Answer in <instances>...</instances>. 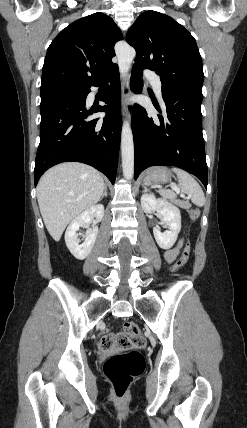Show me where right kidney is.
I'll return each instance as SVG.
<instances>
[{
  "label": "right kidney",
  "mask_w": 247,
  "mask_h": 428,
  "mask_svg": "<svg viewBox=\"0 0 247 428\" xmlns=\"http://www.w3.org/2000/svg\"><path fill=\"white\" fill-rule=\"evenodd\" d=\"M104 215V206L95 205L78 215L68 226L65 232V242L71 254L78 260L85 259L91 252L98 234V227L88 229L84 235V242L79 245L78 233L80 227L88 225L94 218L99 222Z\"/></svg>",
  "instance_id": "ca27d5eb"
}]
</instances>
